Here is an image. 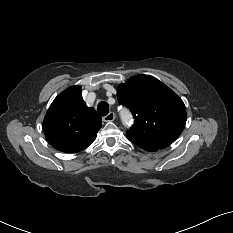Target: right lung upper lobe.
<instances>
[{"instance_id": "1", "label": "right lung upper lobe", "mask_w": 233, "mask_h": 233, "mask_svg": "<svg viewBox=\"0 0 233 233\" xmlns=\"http://www.w3.org/2000/svg\"><path fill=\"white\" fill-rule=\"evenodd\" d=\"M101 126V117L93 108L87 107L79 86H72L59 94L43 121L49 143L55 149L68 153L89 146Z\"/></svg>"}]
</instances>
